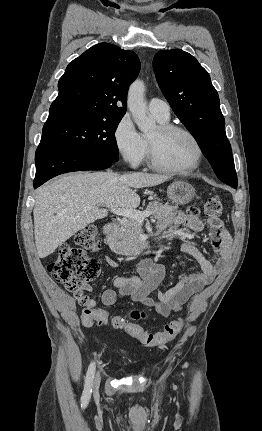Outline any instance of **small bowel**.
Here are the masks:
<instances>
[{"label": "small bowel", "mask_w": 262, "mask_h": 431, "mask_svg": "<svg viewBox=\"0 0 262 431\" xmlns=\"http://www.w3.org/2000/svg\"><path fill=\"white\" fill-rule=\"evenodd\" d=\"M172 224L185 226L193 232L201 231L206 224L210 228L211 243L217 254L216 263L209 260L194 244L183 243L181 250L198 262L201 272L183 274L175 285L162 292L158 291V287L164 277V266L152 259H143L137 264L139 277H117L113 281L115 289L104 291L102 294L104 306L109 307L119 300L128 299L155 309L161 317H168L172 313L181 311L193 295L201 292L215 279L227 261L231 248L229 231L224 227L221 219L208 218L203 222L197 214L175 212ZM159 228L163 233L174 231V227L168 226L165 222L161 223ZM105 263L111 267L116 266L111 258H106ZM90 290L91 287L87 286L73 293L74 300L83 307L82 316L88 314L109 319L110 315L97 308L96 301L87 294ZM155 291H157L156 298L151 296Z\"/></svg>", "instance_id": "c3829d8e"}]
</instances>
